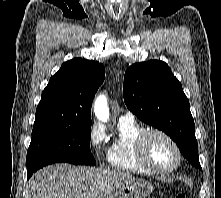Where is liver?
I'll list each match as a JSON object with an SVG mask.
<instances>
[{
    "mask_svg": "<svg viewBox=\"0 0 221 198\" xmlns=\"http://www.w3.org/2000/svg\"><path fill=\"white\" fill-rule=\"evenodd\" d=\"M135 179L129 172L57 164L31 179L33 198H106L122 183Z\"/></svg>",
    "mask_w": 221,
    "mask_h": 198,
    "instance_id": "liver-1",
    "label": "liver"
}]
</instances>
